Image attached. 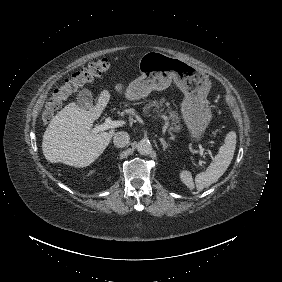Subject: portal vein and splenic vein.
I'll list each match as a JSON object with an SVG mask.
<instances>
[{
	"instance_id": "obj_1",
	"label": "portal vein and splenic vein",
	"mask_w": 282,
	"mask_h": 282,
	"mask_svg": "<svg viewBox=\"0 0 282 282\" xmlns=\"http://www.w3.org/2000/svg\"><path fill=\"white\" fill-rule=\"evenodd\" d=\"M128 124V120L127 119H119V120H111V119H106L105 122L98 126L95 130L97 132L99 131H104V130H108V129H115V128H119V127H124ZM196 148L202 150L203 152H205L209 157L211 161L215 160L214 157V151H212L211 146H208V144H205L204 146V142L199 143V140H196Z\"/></svg>"
}]
</instances>
